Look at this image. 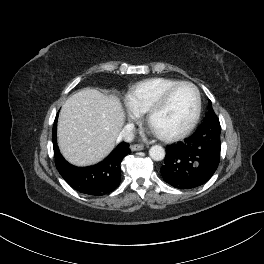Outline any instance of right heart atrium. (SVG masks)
I'll list each match as a JSON object with an SVG mask.
<instances>
[{
    "instance_id": "1",
    "label": "right heart atrium",
    "mask_w": 264,
    "mask_h": 264,
    "mask_svg": "<svg viewBox=\"0 0 264 264\" xmlns=\"http://www.w3.org/2000/svg\"><path fill=\"white\" fill-rule=\"evenodd\" d=\"M136 117H138V113L136 112L132 113V118H136Z\"/></svg>"
}]
</instances>
